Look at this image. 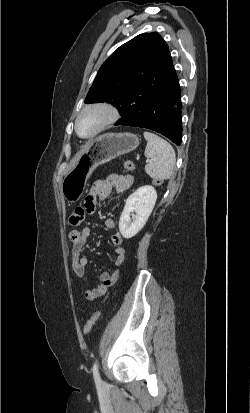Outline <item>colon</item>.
<instances>
[{"mask_svg":"<svg viewBox=\"0 0 250 413\" xmlns=\"http://www.w3.org/2000/svg\"><path fill=\"white\" fill-rule=\"evenodd\" d=\"M124 167L128 171L135 170V164L131 160L125 161ZM165 184H166V181L164 178H151L149 180V185L151 187H164ZM85 209H86V206L84 205V207H81V206L76 207L72 211L69 217V223L71 226L78 227L84 223L85 217H86ZM99 316H100V312H96L87 320V322L84 325V329H83L84 334L90 333L96 321L98 320Z\"/></svg>","mask_w":250,"mask_h":413,"instance_id":"5ec220e1","label":"colon"}]
</instances>
